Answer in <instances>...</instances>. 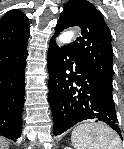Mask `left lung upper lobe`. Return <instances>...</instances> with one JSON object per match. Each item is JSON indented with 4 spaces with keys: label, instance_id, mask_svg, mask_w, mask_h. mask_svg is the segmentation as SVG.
Segmentation results:
<instances>
[{
    "label": "left lung upper lobe",
    "instance_id": "left-lung-upper-lobe-1",
    "mask_svg": "<svg viewBox=\"0 0 124 149\" xmlns=\"http://www.w3.org/2000/svg\"><path fill=\"white\" fill-rule=\"evenodd\" d=\"M72 26L81 29V36L67 46L97 78L112 87V36L102 14L87 0H69L61 12L55 34Z\"/></svg>",
    "mask_w": 124,
    "mask_h": 149
}]
</instances>
